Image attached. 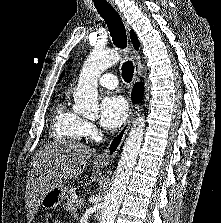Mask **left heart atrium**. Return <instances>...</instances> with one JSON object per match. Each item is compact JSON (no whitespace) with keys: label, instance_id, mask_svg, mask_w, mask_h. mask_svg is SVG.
Here are the masks:
<instances>
[{"label":"left heart atrium","instance_id":"1","mask_svg":"<svg viewBox=\"0 0 221 223\" xmlns=\"http://www.w3.org/2000/svg\"><path fill=\"white\" fill-rule=\"evenodd\" d=\"M128 105L121 96L105 97L100 105V124L110 130L117 129L126 120Z\"/></svg>","mask_w":221,"mask_h":223}]
</instances>
